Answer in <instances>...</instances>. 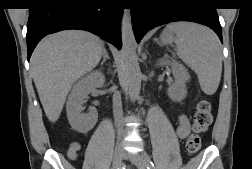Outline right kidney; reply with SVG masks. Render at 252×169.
I'll return each mask as SVG.
<instances>
[{
    "mask_svg": "<svg viewBox=\"0 0 252 169\" xmlns=\"http://www.w3.org/2000/svg\"><path fill=\"white\" fill-rule=\"evenodd\" d=\"M105 77L101 71H93L80 79L72 88L66 103L67 117L72 128L81 133L90 131L97 122L98 113L92 109L89 113H83V104L93 86H101Z\"/></svg>",
    "mask_w": 252,
    "mask_h": 169,
    "instance_id": "ca27d5eb",
    "label": "right kidney"
}]
</instances>
